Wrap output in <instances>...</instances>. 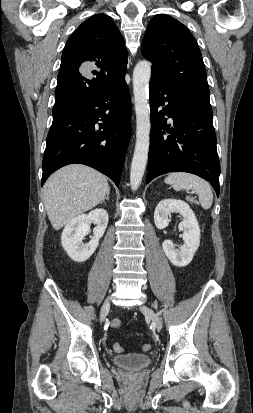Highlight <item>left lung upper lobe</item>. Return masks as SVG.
Listing matches in <instances>:
<instances>
[{
	"mask_svg": "<svg viewBox=\"0 0 253 413\" xmlns=\"http://www.w3.org/2000/svg\"><path fill=\"white\" fill-rule=\"evenodd\" d=\"M142 55L152 63V77L212 110L202 55L186 26L168 15H156L146 29Z\"/></svg>",
	"mask_w": 253,
	"mask_h": 413,
	"instance_id": "1",
	"label": "left lung upper lobe"
}]
</instances>
